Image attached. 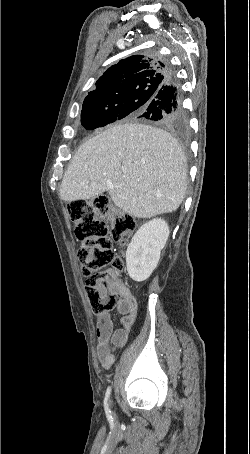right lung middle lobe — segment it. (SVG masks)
Wrapping results in <instances>:
<instances>
[{"instance_id": "dd1d6c3e", "label": "right lung middle lobe", "mask_w": 250, "mask_h": 454, "mask_svg": "<svg viewBox=\"0 0 250 454\" xmlns=\"http://www.w3.org/2000/svg\"><path fill=\"white\" fill-rule=\"evenodd\" d=\"M159 89L160 86L156 84H145L119 98L85 104L82 107L81 124L93 130L127 116L137 117L146 110Z\"/></svg>"}]
</instances>
